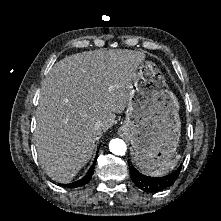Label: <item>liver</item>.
I'll use <instances>...</instances> for the list:
<instances>
[{"label":"liver","instance_id":"liver-1","mask_svg":"<svg viewBox=\"0 0 221 221\" xmlns=\"http://www.w3.org/2000/svg\"><path fill=\"white\" fill-rule=\"evenodd\" d=\"M144 52L86 51L55 63L43 80L34 143L46 174L68 183L90 160L98 135L116 124ZM101 121L100 130H95Z\"/></svg>","mask_w":221,"mask_h":221}]
</instances>
